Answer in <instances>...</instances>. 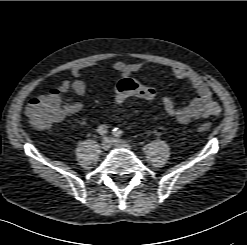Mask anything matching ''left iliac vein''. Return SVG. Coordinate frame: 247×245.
Wrapping results in <instances>:
<instances>
[{"instance_id": "obj_1", "label": "left iliac vein", "mask_w": 247, "mask_h": 245, "mask_svg": "<svg viewBox=\"0 0 247 245\" xmlns=\"http://www.w3.org/2000/svg\"><path fill=\"white\" fill-rule=\"evenodd\" d=\"M112 143L116 146L123 147V148H130L129 144L123 140L118 138H112Z\"/></svg>"}]
</instances>
